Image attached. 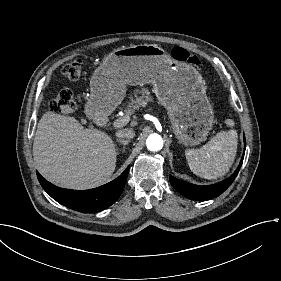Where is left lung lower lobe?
Listing matches in <instances>:
<instances>
[{
	"instance_id": "left-lung-lower-lobe-1",
	"label": "left lung lower lobe",
	"mask_w": 281,
	"mask_h": 281,
	"mask_svg": "<svg viewBox=\"0 0 281 281\" xmlns=\"http://www.w3.org/2000/svg\"><path fill=\"white\" fill-rule=\"evenodd\" d=\"M245 148H246V140L244 137V153H245ZM244 153L241 162L239 164V167L237 168L235 173L231 177L217 184L199 186L179 180L171 175H170V182L177 191H179L182 195H184L188 199L195 200V201H205V200L213 199L219 196L220 194H222L232 184L242 165Z\"/></svg>"
}]
</instances>
